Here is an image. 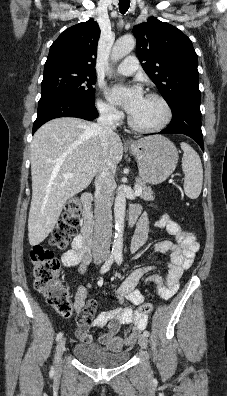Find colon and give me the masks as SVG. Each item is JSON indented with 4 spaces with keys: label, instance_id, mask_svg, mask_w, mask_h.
Instances as JSON below:
<instances>
[{
    "label": "colon",
    "instance_id": "5ec220e1",
    "mask_svg": "<svg viewBox=\"0 0 227 396\" xmlns=\"http://www.w3.org/2000/svg\"><path fill=\"white\" fill-rule=\"evenodd\" d=\"M82 211V199L75 195L71 197L64 207L61 220L55 227L51 244L63 249L71 238L76 234L80 224ZM33 265V276L35 289L40 292L60 315L68 317L72 313L69 293L60 279V262L53 252L42 244L33 246L30 252ZM153 307L149 303L139 306V311L149 314Z\"/></svg>",
    "mask_w": 227,
    "mask_h": 396
}]
</instances>
